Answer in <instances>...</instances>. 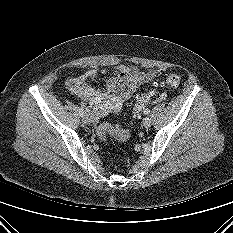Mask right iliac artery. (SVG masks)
<instances>
[{"instance_id":"82829eb1","label":"right iliac artery","mask_w":233,"mask_h":233,"mask_svg":"<svg viewBox=\"0 0 233 233\" xmlns=\"http://www.w3.org/2000/svg\"><path fill=\"white\" fill-rule=\"evenodd\" d=\"M79 114H80L81 117H83L85 115L84 110H83L82 107H79Z\"/></svg>"}]
</instances>
